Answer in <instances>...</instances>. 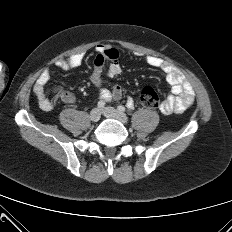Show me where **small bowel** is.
Instances as JSON below:
<instances>
[{
  "instance_id": "obj_1",
  "label": "small bowel",
  "mask_w": 232,
  "mask_h": 232,
  "mask_svg": "<svg viewBox=\"0 0 232 232\" xmlns=\"http://www.w3.org/2000/svg\"><path fill=\"white\" fill-rule=\"evenodd\" d=\"M96 57L93 61L91 72L88 76L89 81L99 88L101 99L105 102L118 101L123 96L122 88L119 85L106 87L105 78L114 79L121 74L122 69L119 64V53L116 49L106 44L100 43L95 47ZM143 57L145 63L154 69L160 70L166 76V80L171 87V94L161 103L159 110L163 114L181 113L185 111L194 101L195 94L193 87L184 75L170 62L154 56L139 55ZM84 53H76L71 57L56 62V67L63 71L73 70L79 67L84 61ZM108 63L107 67L105 66ZM50 79L48 71H44L38 77L33 91L38 104L44 111H51L54 107L53 102L45 92V86ZM60 99L67 104L75 102V95L65 91L60 95ZM127 104H133V100L128 98Z\"/></svg>"
}]
</instances>
